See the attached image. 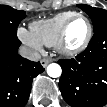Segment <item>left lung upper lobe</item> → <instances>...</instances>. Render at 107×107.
I'll use <instances>...</instances> for the list:
<instances>
[{
	"label": "left lung upper lobe",
	"mask_w": 107,
	"mask_h": 107,
	"mask_svg": "<svg viewBox=\"0 0 107 107\" xmlns=\"http://www.w3.org/2000/svg\"><path fill=\"white\" fill-rule=\"evenodd\" d=\"M79 8L85 11L91 18L94 31L103 26H107V11L101 8L91 7L89 5L78 4Z\"/></svg>",
	"instance_id": "obj_1"
}]
</instances>
